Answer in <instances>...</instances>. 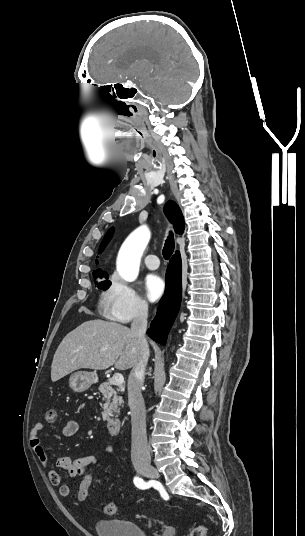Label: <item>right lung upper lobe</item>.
Here are the masks:
<instances>
[{
    "instance_id": "obj_1",
    "label": "right lung upper lobe",
    "mask_w": 305,
    "mask_h": 536,
    "mask_svg": "<svg viewBox=\"0 0 305 536\" xmlns=\"http://www.w3.org/2000/svg\"><path fill=\"white\" fill-rule=\"evenodd\" d=\"M164 211L167 217L169 218V220L173 223L175 232L178 234H182L184 231V218L178 205L174 201H168L167 204L165 205ZM112 232H113V229H110L105 234V237L99 247V253L103 251L104 247L109 242L112 236ZM96 263H98L97 260H96ZM93 274L95 277L98 276L100 278H103V277L108 278V274L103 273L100 269L94 271Z\"/></svg>"
}]
</instances>
